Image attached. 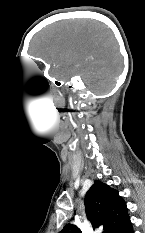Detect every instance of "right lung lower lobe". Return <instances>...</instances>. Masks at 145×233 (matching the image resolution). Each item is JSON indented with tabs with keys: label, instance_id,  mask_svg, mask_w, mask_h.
<instances>
[{
	"label": "right lung lower lobe",
	"instance_id": "98d812e1",
	"mask_svg": "<svg viewBox=\"0 0 145 233\" xmlns=\"http://www.w3.org/2000/svg\"><path fill=\"white\" fill-rule=\"evenodd\" d=\"M114 233H134L130 218L121 227L114 231Z\"/></svg>",
	"mask_w": 145,
	"mask_h": 233
}]
</instances>
